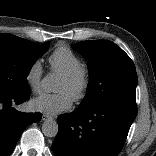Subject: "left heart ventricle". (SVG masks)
<instances>
[{
    "mask_svg": "<svg viewBox=\"0 0 156 156\" xmlns=\"http://www.w3.org/2000/svg\"><path fill=\"white\" fill-rule=\"evenodd\" d=\"M56 92H64L68 94L71 98L75 93V86L64 79L60 78L56 85Z\"/></svg>",
    "mask_w": 156,
    "mask_h": 156,
    "instance_id": "1",
    "label": "left heart ventricle"
}]
</instances>
